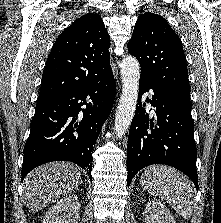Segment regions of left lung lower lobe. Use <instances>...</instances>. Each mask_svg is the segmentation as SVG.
Listing matches in <instances>:
<instances>
[{"instance_id":"left-lung-lower-lobe-1","label":"left lung lower lobe","mask_w":221,"mask_h":223,"mask_svg":"<svg viewBox=\"0 0 221 223\" xmlns=\"http://www.w3.org/2000/svg\"><path fill=\"white\" fill-rule=\"evenodd\" d=\"M149 89L154 95L146 102L156 108L155 119L145 113V103H141L142 95ZM138 99L128 137L127 185L145 166L165 164L186 174L198 189L190 98L140 79Z\"/></svg>"}]
</instances>
